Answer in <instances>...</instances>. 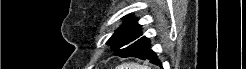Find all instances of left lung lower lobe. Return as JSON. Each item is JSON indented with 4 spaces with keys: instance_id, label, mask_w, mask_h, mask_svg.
Listing matches in <instances>:
<instances>
[{
    "instance_id": "0a47b994",
    "label": "left lung lower lobe",
    "mask_w": 246,
    "mask_h": 69,
    "mask_svg": "<svg viewBox=\"0 0 246 69\" xmlns=\"http://www.w3.org/2000/svg\"><path fill=\"white\" fill-rule=\"evenodd\" d=\"M114 55L120 57H136L143 60H149L151 63L161 65L156 53L150 49V40L141 37L130 45L115 51Z\"/></svg>"
}]
</instances>
